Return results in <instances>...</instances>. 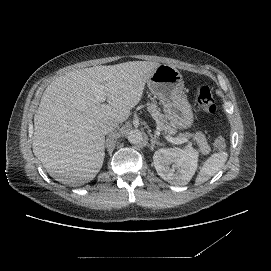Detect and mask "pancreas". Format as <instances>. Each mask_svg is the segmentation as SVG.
<instances>
[{
	"instance_id": "cf45deb5",
	"label": "pancreas",
	"mask_w": 271,
	"mask_h": 271,
	"mask_svg": "<svg viewBox=\"0 0 271 271\" xmlns=\"http://www.w3.org/2000/svg\"><path fill=\"white\" fill-rule=\"evenodd\" d=\"M148 111L151 113L152 117L157 121V124L161 131H164L165 134L174 135L177 133L176 127L170 121V117L168 115L162 114L158 111L157 106L155 104H151L147 107ZM193 138L199 146V151L206 155L211 151L210 146L207 143L206 137L201 132H196L195 134L184 133L179 134V138Z\"/></svg>"
}]
</instances>
